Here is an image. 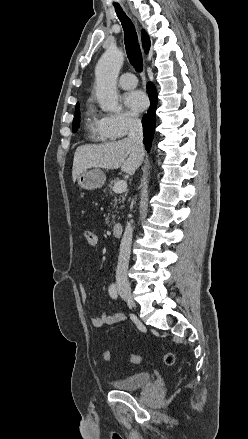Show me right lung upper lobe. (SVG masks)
Wrapping results in <instances>:
<instances>
[{"label": "right lung upper lobe", "instance_id": "obj_1", "mask_svg": "<svg viewBox=\"0 0 248 439\" xmlns=\"http://www.w3.org/2000/svg\"><path fill=\"white\" fill-rule=\"evenodd\" d=\"M142 43H143L144 50L147 53L149 51V48H150V40H149V37L145 31H142ZM77 110H79V103H77V105H76L75 111H77Z\"/></svg>", "mask_w": 248, "mask_h": 439}]
</instances>
